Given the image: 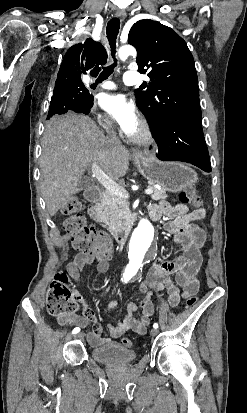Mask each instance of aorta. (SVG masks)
Wrapping results in <instances>:
<instances>
[{"mask_svg":"<svg viewBox=\"0 0 247 413\" xmlns=\"http://www.w3.org/2000/svg\"><path fill=\"white\" fill-rule=\"evenodd\" d=\"M118 56L121 60H126L129 56L135 57L136 50L130 45L122 46L118 51ZM154 228L147 219H142L136 228L133 238L135 245L130 253L129 269L135 273L145 254V251L152 240Z\"/></svg>","mask_w":247,"mask_h":413,"instance_id":"1","label":"aorta"}]
</instances>
